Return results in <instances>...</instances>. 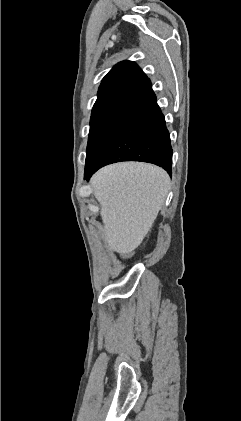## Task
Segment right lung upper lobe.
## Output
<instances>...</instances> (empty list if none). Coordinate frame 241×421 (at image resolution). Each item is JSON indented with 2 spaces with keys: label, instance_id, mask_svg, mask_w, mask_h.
Here are the masks:
<instances>
[{
  "label": "right lung upper lobe",
  "instance_id": "1",
  "mask_svg": "<svg viewBox=\"0 0 241 421\" xmlns=\"http://www.w3.org/2000/svg\"><path fill=\"white\" fill-rule=\"evenodd\" d=\"M151 87L144 72L132 61L115 65L103 78L92 112L130 103Z\"/></svg>",
  "mask_w": 241,
  "mask_h": 421
}]
</instances>
